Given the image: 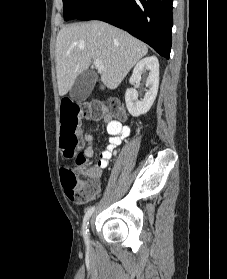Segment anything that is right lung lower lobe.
I'll use <instances>...</instances> for the list:
<instances>
[{
	"label": "right lung lower lobe",
	"instance_id": "98d812e1",
	"mask_svg": "<svg viewBox=\"0 0 227 279\" xmlns=\"http://www.w3.org/2000/svg\"><path fill=\"white\" fill-rule=\"evenodd\" d=\"M173 0H93L77 17L101 20L126 30L169 59Z\"/></svg>",
	"mask_w": 227,
	"mask_h": 279
}]
</instances>
